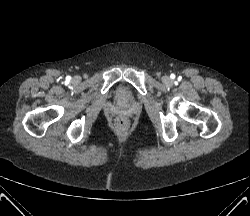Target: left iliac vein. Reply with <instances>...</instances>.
Wrapping results in <instances>:
<instances>
[{
    "label": "left iliac vein",
    "instance_id": "obj_1",
    "mask_svg": "<svg viewBox=\"0 0 250 216\" xmlns=\"http://www.w3.org/2000/svg\"><path fill=\"white\" fill-rule=\"evenodd\" d=\"M163 82L166 84V85H170L172 83V80L168 77V76H165L163 78Z\"/></svg>",
    "mask_w": 250,
    "mask_h": 216
}]
</instances>
